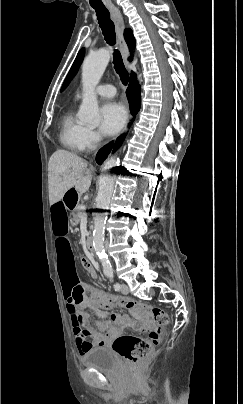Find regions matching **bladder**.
Segmentation results:
<instances>
[{
	"instance_id": "obj_1",
	"label": "bladder",
	"mask_w": 243,
	"mask_h": 404,
	"mask_svg": "<svg viewBox=\"0 0 243 404\" xmlns=\"http://www.w3.org/2000/svg\"><path fill=\"white\" fill-rule=\"evenodd\" d=\"M81 363L91 369L106 374H115L119 371L120 365L114 352L103 346L93 347L81 356Z\"/></svg>"
}]
</instances>
